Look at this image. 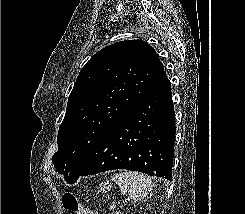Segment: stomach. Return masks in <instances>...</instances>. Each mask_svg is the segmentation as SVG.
I'll return each instance as SVG.
<instances>
[{
    "label": "stomach",
    "instance_id": "stomach-1",
    "mask_svg": "<svg viewBox=\"0 0 245 214\" xmlns=\"http://www.w3.org/2000/svg\"><path fill=\"white\" fill-rule=\"evenodd\" d=\"M111 188H112L111 183H109V181H106L104 183H101L98 189L100 192L108 193L111 190Z\"/></svg>",
    "mask_w": 245,
    "mask_h": 214
}]
</instances>
